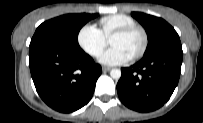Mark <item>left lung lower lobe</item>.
Instances as JSON below:
<instances>
[{"mask_svg":"<svg viewBox=\"0 0 203 123\" xmlns=\"http://www.w3.org/2000/svg\"><path fill=\"white\" fill-rule=\"evenodd\" d=\"M183 58L181 45L171 46L144 56L128 68H122L117 83L120 100L139 112L163 106L176 88Z\"/></svg>","mask_w":203,"mask_h":123,"instance_id":"0a47b994","label":"left lung lower lobe"}]
</instances>
